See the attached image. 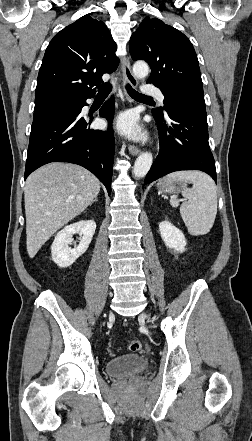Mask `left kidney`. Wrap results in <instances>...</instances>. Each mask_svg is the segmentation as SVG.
<instances>
[{"mask_svg":"<svg viewBox=\"0 0 252 441\" xmlns=\"http://www.w3.org/2000/svg\"><path fill=\"white\" fill-rule=\"evenodd\" d=\"M161 238L165 245L177 252H184L187 244L184 234L168 220L159 224Z\"/></svg>","mask_w":252,"mask_h":441,"instance_id":"5707ae66","label":"left kidney"}]
</instances>
